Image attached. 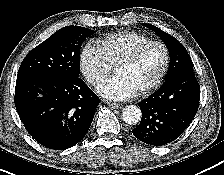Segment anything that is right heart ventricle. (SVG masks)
<instances>
[{
    "mask_svg": "<svg viewBox=\"0 0 224 175\" xmlns=\"http://www.w3.org/2000/svg\"><path fill=\"white\" fill-rule=\"evenodd\" d=\"M149 40L150 38L142 33L122 31L107 35L101 39L99 47L103 50L109 62L115 65L137 46Z\"/></svg>",
    "mask_w": 224,
    "mask_h": 175,
    "instance_id": "1",
    "label": "right heart ventricle"
}]
</instances>
